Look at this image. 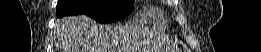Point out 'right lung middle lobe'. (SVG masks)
I'll list each match as a JSON object with an SVG mask.
<instances>
[{"instance_id":"right-lung-middle-lobe-1","label":"right lung middle lobe","mask_w":261,"mask_h":52,"mask_svg":"<svg viewBox=\"0 0 261 52\" xmlns=\"http://www.w3.org/2000/svg\"><path fill=\"white\" fill-rule=\"evenodd\" d=\"M133 9L132 0H59L57 17L86 14L100 23L120 20Z\"/></svg>"}]
</instances>
